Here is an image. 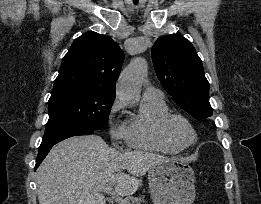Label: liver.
Masks as SVG:
<instances>
[{
    "label": "liver",
    "instance_id": "liver-1",
    "mask_svg": "<svg viewBox=\"0 0 261 204\" xmlns=\"http://www.w3.org/2000/svg\"><path fill=\"white\" fill-rule=\"evenodd\" d=\"M167 160L142 151L121 153L97 135L68 138L52 148L37 169L39 204H106L105 196L94 189L97 185L132 195L139 187L138 177Z\"/></svg>",
    "mask_w": 261,
    "mask_h": 204
}]
</instances>
